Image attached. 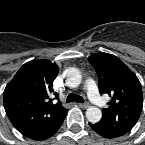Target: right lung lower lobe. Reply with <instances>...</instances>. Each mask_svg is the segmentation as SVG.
<instances>
[{
    "mask_svg": "<svg viewBox=\"0 0 145 145\" xmlns=\"http://www.w3.org/2000/svg\"><path fill=\"white\" fill-rule=\"evenodd\" d=\"M66 113H67V111L54 124H52L47 129L42 130V131L37 132V133H34V134H31L27 137L32 139V140H36V141H41V140H45V139L50 138L61 127V125L65 119Z\"/></svg>",
    "mask_w": 145,
    "mask_h": 145,
    "instance_id": "obj_1",
    "label": "right lung lower lobe"
}]
</instances>
